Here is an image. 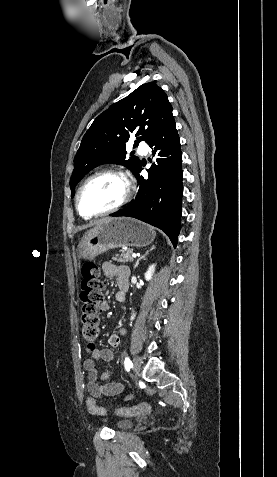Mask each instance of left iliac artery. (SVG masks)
I'll return each mask as SVG.
<instances>
[{"instance_id":"left-iliac-artery-1","label":"left iliac artery","mask_w":277,"mask_h":477,"mask_svg":"<svg viewBox=\"0 0 277 477\" xmlns=\"http://www.w3.org/2000/svg\"><path fill=\"white\" fill-rule=\"evenodd\" d=\"M124 363H125V368H126V370L129 371L130 368L132 367V362L130 361L129 358H125Z\"/></svg>"}]
</instances>
